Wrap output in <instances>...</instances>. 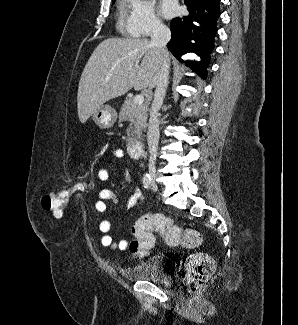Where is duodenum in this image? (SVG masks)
<instances>
[{"instance_id":"410a0bca","label":"duodenum","mask_w":298,"mask_h":325,"mask_svg":"<svg viewBox=\"0 0 298 325\" xmlns=\"http://www.w3.org/2000/svg\"><path fill=\"white\" fill-rule=\"evenodd\" d=\"M129 154L134 157L138 158L142 155L144 151V144L141 141H132L128 145Z\"/></svg>"}]
</instances>
